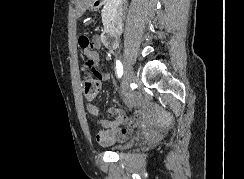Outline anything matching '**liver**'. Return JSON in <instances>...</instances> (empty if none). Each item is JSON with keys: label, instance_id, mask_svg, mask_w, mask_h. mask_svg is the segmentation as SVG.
<instances>
[{"label": "liver", "instance_id": "1", "mask_svg": "<svg viewBox=\"0 0 244 179\" xmlns=\"http://www.w3.org/2000/svg\"><path fill=\"white\" fill-rule=\"evenodd\" d=\"M95 0H77L76 2V16L81 18L82 14L86 12L88 6H92Z\"/></svg>", "mask_w": 244, "mask_h": 179}]
</instances>
